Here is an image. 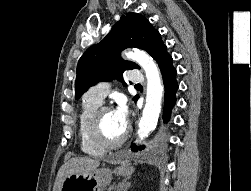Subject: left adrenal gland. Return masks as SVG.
<instances>
[{"mask_svg": "<svg viewBox=\"0 0 251 191\" xmlns=\"http://www.w3.org/2000/svg\"><path fill=\"white\" fill-rule=\"evenodd\" d=\"M129 185H131L130 181H127V179H122L121 183H118L117 191H127Z\"/></svg>", "mask_w": 251, "mask_h": 191, "instance_id": "left-adrenal-gland-1", "label": "left adrenal gland"}]
</instances>
